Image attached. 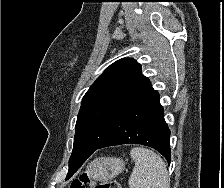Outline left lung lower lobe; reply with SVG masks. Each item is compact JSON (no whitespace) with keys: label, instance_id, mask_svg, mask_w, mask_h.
<instances>
[{"label":"left lung lower lobe","instance_id":"1","mask_svg":"<svg viewBox=\"0 0 224 188\" xmlns=\"http://www.w3.org/2000/svg\"><path fill=\"white\" fill-rule=\"evenodd\" d=\"M169 138L170 130L164 120V111L159 101V94L151 88L125 111L117 125L97 149L122 144H142L156 149L170 162ZM84 161L70 165L68 177Z\"/></svg>","mask_w":224,"mask_h":188}]
</instances>
